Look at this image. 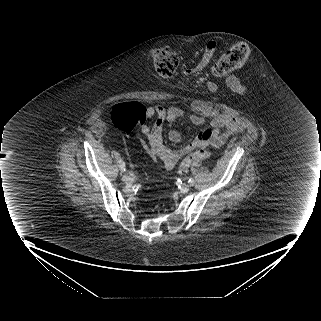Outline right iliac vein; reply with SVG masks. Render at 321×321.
I'll use <instances>...</instances> for the list:
<instances>
[{
    "instance_id": "right-iliac-vein-1",
    "label": "right iliac vein",
    "mask_w": 321,
    "mask_h": 321,
    "mask_svg": "<svg viewBox=\"0 0 321 321\" xmlns=\"http://www.w3.org/2000/svg\"><path fill=\"white\" fill-rule=\"evenodd\" d=\"M122 179L126 184H131L133 182L132 178L128 175H123Z\"/></svg>"
}]
</instances>
